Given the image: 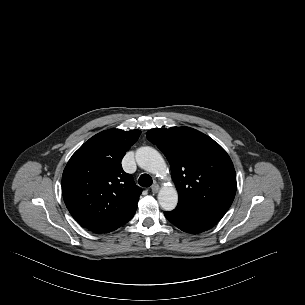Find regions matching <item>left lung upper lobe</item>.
<instances>
[{
	"instance_id": "5c2ea615",
	"label": "left lung upper lobe",
	"mask_w": 305,
	"mask_h": 305,
	"mask_svg": "<svg viewBox=\"0 0 305 305\" xmlns=\"http://www.w3.org/2000/svg\"><path fill=\"white\" fill-rule=\"evenodd\" d=\"M147 139L166 156L179 201L176 208L229 209L237 185L226 151L207 135L189 127L151 129Z\"/></svg>"
}]
</instances>
